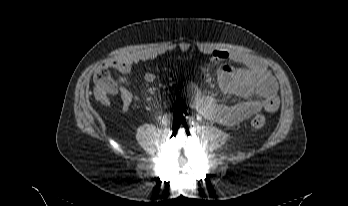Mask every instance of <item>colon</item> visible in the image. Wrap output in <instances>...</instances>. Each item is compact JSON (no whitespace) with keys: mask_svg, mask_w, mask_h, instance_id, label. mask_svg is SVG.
<instances>
[{"mask_svg":"<svg viewBox=\"0 0 348 206\" xmlns=\"http://www.w3.org/2000/svg\"><path fill=\"white\" fill-rule=\"evenodd\" d=\"M95 82L106 92H113L117 88V82L112 79L107 68H100L95 74ZM266 124V117L262 114L254 115L250 120L252 129H260Z\"/></svg>","mask_w":348,"mask_h":206,"instance_id":"colon-1","label":"colon"}]
</instances>
